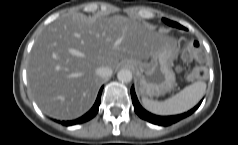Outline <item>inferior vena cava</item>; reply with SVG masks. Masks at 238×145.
I'll use <instances>...</instances> for the list:
<instances>
[{
  "instance_id": "obj_1",
  "label": "inferior vena cava",
  "mask_w": 238,
  "mask_h": 145,
  "mask_svg": "<svg viewBox=\"0 0 238 145\" xmlns=\"http://www.w3.org/2000/svg\"><path fill=\"white\" fill-rule=\"evenodd\" d=\"M96 74L101 78H109L112 75V69L109 67H99L96 70Z\"/></svg>"
}]
</instances>
